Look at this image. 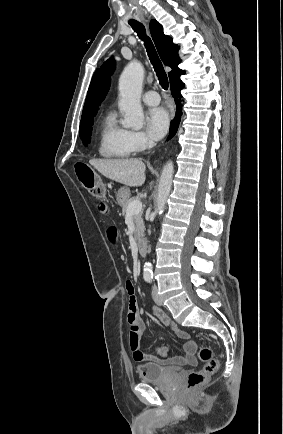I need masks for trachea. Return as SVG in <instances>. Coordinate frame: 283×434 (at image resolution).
<instances>
[{
    "instance_id": "1",
    "label": "trachea",
    "mask_w": 283,
    "mask_h": 434,
    "mask_svg": "<svg viewBox=\"0 0 283 434\" xmlns=\"http://www.w3.org/2000/svg\"><path fill=\"white\" fill-rule=\"evenodd\" d=\"M129 24L131 25L133 30L135 32H137L139 38L144 41L145 48L147 50L151 64L153 65V68H154L156 75L158 77L159 84L161 85V87L163 89L167 90L168 86H169L167 74L164 70V67H163L159 57H158V54L156 52V49H155L150 37H148L146 35V30H145L144 25L139 23V22H130Z\"/></svg>"
}]
</instances>
